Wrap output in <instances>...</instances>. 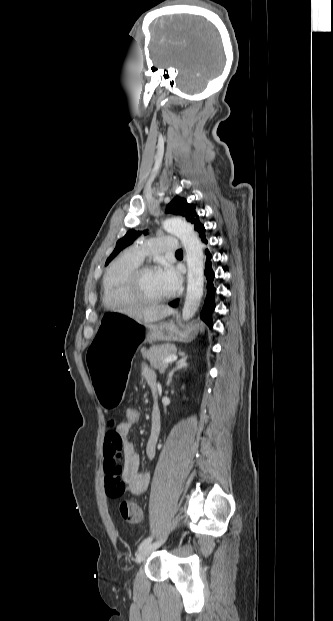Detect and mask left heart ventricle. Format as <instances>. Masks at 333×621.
<instances>
[{"mask_svg": "<svg viewBox=\"0 0 333 621\" xmlns=\"http://www.w3.org/2000/svg\"><path fill=\"white\" fill-rule=\"evenodd\" d=\"M140 292L149 298H160L168 295V291L157 275V270L144 273L139 282Z\"/></svg>", "mask_w": 333, "mask_h": 621, "instance_id": "1", "label": "left heart ventricle"}]
</instances>
